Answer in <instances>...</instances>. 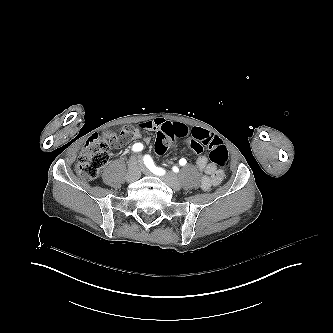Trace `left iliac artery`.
<instances>
[{"instance_id":"left-iliac-artery-1","label":"left iliac artery","mask_w":333,"mask_h":333,"mask_svg":"<svg viewBox=\"0 0 333 333\" xmlns=\"http://www.w3.org/2000/svg\"><path fill=\"white\" fill-rule=\"evenodd\" d=\"M144 163L145 165L156 175H163L165 173V171L161 168H158L154 165V162L152 160V158L149 155H145L144 156ZM179 164L180 165H185L186 164V160L184 158L179 160Z\"/></svg>"}]
</instances>
